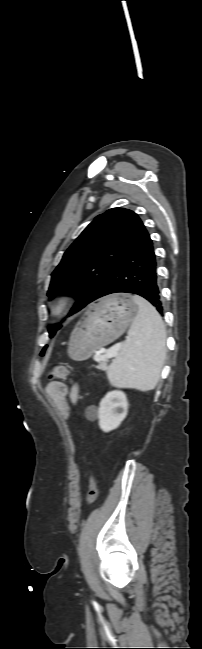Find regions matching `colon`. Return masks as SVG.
I'll list each match as a JSON object with an SVG mask.
<instances>
[{
  "instance_id": "obj_1",
  "label": "colon",
  "mask_w": 202,
  "mask_h": 649,
  "mask_svg": "<svg viewBox=\"0 0 202 649\" xmlns=\"http://www.w3.org/2000/svg\"><path fill=\"white\" fill-rule=\"evenodd\" d=\"M68 374H69V370L66 365L57 364L52 367L49 373V378L52 381L63 380L68 377ZM97 494H98L97 481L93 479L90 483L89 490L86 496V504L87 505L92 504L96 500Z\"/></svg>"
}]
</instances>
